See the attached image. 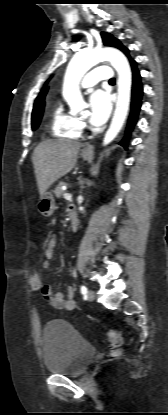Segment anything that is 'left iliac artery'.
Instances as JSON below:
<instances>
[{"label":"left iliac artery","mask_w":168,"mask_h":415,"mask_svg":"<svg viewBox=\"0 0 168 415\" xmlns=\"http://www.w3.org/2000/svg\"><path fill=\"white\" fill-rule=\"evenodd\" d=\"M80 291L82 295H86L88 292L86 286L84 285H81Z\"/></svg>","instance_id":"left-iliac-artery-1"}]
</instances>
